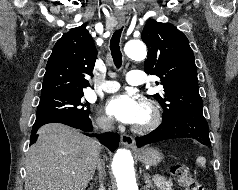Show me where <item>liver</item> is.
I'll use <instances>...</instances> for the list:
<instances>
[{"label": "liver", "mask_w": 238, "mask_h": 190, "mask_svg": "<svg viewBox=\"0 0 238 190\" xmlns=\"http://www.w3.org/2000/svg\"><path fill=\"white\" fill-rule=\"evenodd\" d=\"M37 134L27 154L25 190H84L97 167V141L60 123Z\"/></svg>", "instance_id": "6515ba94"}]
</instances>
